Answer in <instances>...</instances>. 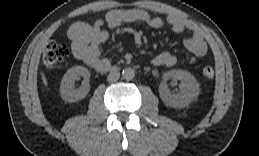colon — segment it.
I'll list each match as a JSON object with an SVG mask.
<instances>
[{
    "mask_svg": "<svg viewBox=\"0 0 259 156\" xmlns=\"http://www.w3.org/2000/svg\"><path fill=\"white\" fill-rule=\"evenodd\" d=\"M68 56V48L62 44L50 41L44 48L42 63L47 70H53L64 62ZM201 75L204 79H212L214 77V70L211 66H205Z\"/></svg>",
    "mask_w": 259,
    "mask_h": 156,
    "instance_id": "1",
    "label": "colon"
}]
</instances>
